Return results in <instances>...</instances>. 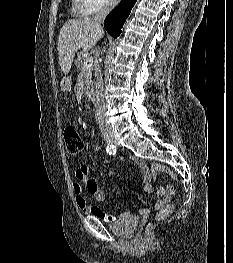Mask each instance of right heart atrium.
Instances as JSON below:
<instances>
[{
	"label": "right heart atrium",
	"mask_w": 233,
	"mask_h": 263,
	"mask_svg": "<svg viewBox=\"0 0 233 263\" xmlns=\"http://www.w3.org/2000/svg\"><path fill=\"white\" fill-rule=\"evenodd\" d=\"M78 9L85 14H92L114 7L119 0H77Z\"/></svg>",
	"instance_id": "1"
}]
</instances>
